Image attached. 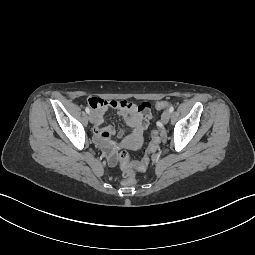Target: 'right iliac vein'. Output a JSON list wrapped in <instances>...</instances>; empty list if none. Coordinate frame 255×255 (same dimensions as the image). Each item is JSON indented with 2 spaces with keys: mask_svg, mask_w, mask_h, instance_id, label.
<instances>
[{
  "mask_svg": "<svg viewBox=\"0 0 255 255\" xmlns=\"http://www.w3.org/2000/svg\"><path fill=\"white\" fill-rule=\"evenodd\" d=\"M89 121H90L91 123H94V122H95V115H94L93 112H91V113L89 114Z\"/></svg>",
  "mask_w": 255,
  "mask_h": 255,
  "instance_id": "63e3f726",
  "label": "right iliac vein"
}]
</instances>
